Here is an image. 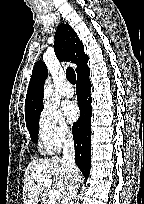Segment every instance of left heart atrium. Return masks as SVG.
<instances>
[{
    "mask_svg": "<svg viewBox=\"0 0 144 204\" xmlns=\"http://www.w3.org/2000/svg\"><path fill=\"white\" fill-rule=\"evenodd\" d=\"M64 112L70 122L76 121L79 117V108L75 103H67L64 106Z\"/></svg>",
    "mask_w": 144,
    "mask_h": 204,
    "instance_id": "obj_1",
    "label": "left heart atrium"
}]
</instances>
